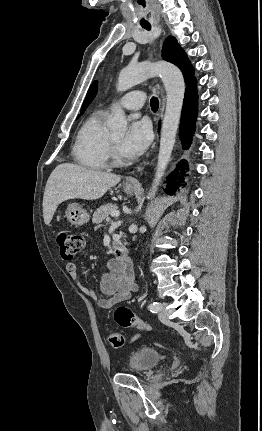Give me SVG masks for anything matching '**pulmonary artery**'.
I'll return each instance as SVG.
<instances>
[{"label": "pulmonary artery", "mask_w": 262, "mask_h": 431, "mask_svg": "<svg viewBox=\"0 0 262 431\" xmlns=\"http://www.w3.org/2000/svg\"><path fill=\"white\" fill-rule=\"evenodd\" d=\"M146 100L145 93L142 91H132L122 96L119 100L110 105V108L121 106L128 110H139L143 107Z\"/></svg>", "instance_id": "pulmonary-artery-1"}]
</instances>
